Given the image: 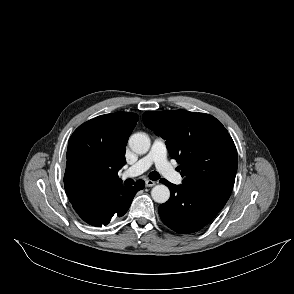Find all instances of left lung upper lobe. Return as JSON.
Returning a JSON list of instances; mask_svg holds the SVG:
<instances>
[{"label": "left lung upper lobe", "instance_id": "left-lung-upper-lobe-1", "mask_svg": "<svg viewBox=\"0 0 294 294\" xmlns=\"http://www.w3.org/2000/svg\"><path fill=\"white\" fill-rule=\"evenodd\" d=\"M143 121L166 139L170 156L180 164L183 185H234L237 150L228 131L215 117L168 110L145 112Z\"/></svg>", "mask_w": 294, "mask_h": 294}]
</instances>
